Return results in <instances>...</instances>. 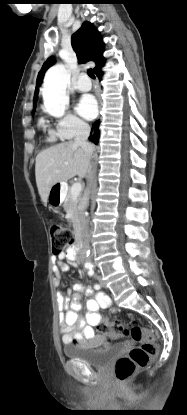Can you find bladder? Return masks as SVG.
Masks as SVG:
<instances>
[{"mask_svg":"<svg viewBox=\"0 0 187 415\" xmlns=\"http://www.w3.org/2000/svg\"><path fill=\"white\" fill-rule=\"evenodd\" d=\"M122 348L121 344L103 350H91L80 345H66L63 347V352L69 359H77L96 368H105L122 352Z\"/></svg>","mask_w":187,"mask_h":415,"instance_id":"bladder-1","label":"bladder"}]
</instances>
